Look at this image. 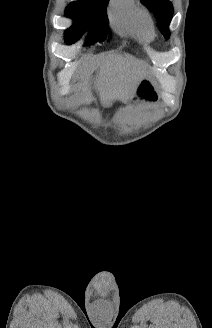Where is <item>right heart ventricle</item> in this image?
<instances>
[{
  "label": "right heart ventricle",
  "instance_id": "e07e8e85",
  "mask_svg": "<svg viewBox=\"0 0 212 328\" xmlns=\"http://www.w3.org/2000/svg\"><path fill=\"white\" fill-rule=\"evenodd\" d=\"M109 15L113 26L121 32L150 34V22L135 0H112Z\"/></svg>",
  "mask_w": 212,
  "mask_h": 328
}]
</instances>
